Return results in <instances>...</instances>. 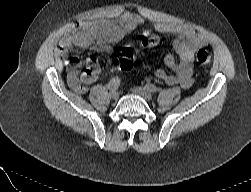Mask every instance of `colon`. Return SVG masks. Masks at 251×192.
Returning a JSON list of instances; mask_svg holds the SVG:
<instances>
[{"mask_svg":"<svg viewBox=\"0 0 251 192\" xmlns=\"http://www.w3.org/2000/svg\"><path fill=\"white\" fill-rule=\"evenodd\" d=\"M161 44V38L156 33H148L142 36L141 46L144 49L155 50ZM211 59V54L206 49H199L195 55L196 63L203 67L209 63ZM135 62V54L132 49L125 48L120 52L119 55V65L123 71L130 70Z\"/></svg>","mask_w":251,"mask_h":192,"instance_id":"colon-1","label":"colon"}]
</instances>
